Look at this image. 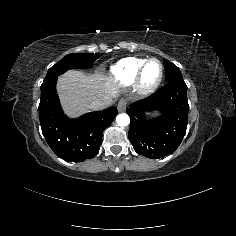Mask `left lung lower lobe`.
Listing matches in <instances>:
<instances>
[{
  "label": "left lung lower lobe",
  "mask_w": 236,
  "mask_h": 236,
  "mask_svg": "<svg viewBox=\"0 0 236 236\" xmlns=\"http://www.w3.org/2000/svg\"><path fill=\"white\" fill-rule=\"evenodd\" d=\"M158 110L160 116L148 119L146 112ZM189 105L184 81L168 82L151 96L130 105L129 140L134 150L150 159L173 153L187 128Z\"/></svg>",
  "instance_id": "obj_1"
}]
</instances>
